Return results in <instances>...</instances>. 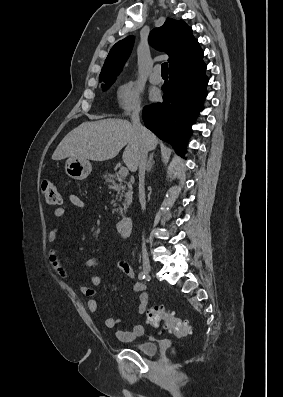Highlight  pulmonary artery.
Masks as SVG:
<instances>
[{
  "mask_svg": "<svg viewBox=\"0 0 283 397\" xmlns=\"http://www.w3.org/2000/svg\"><path fill=\"white\" fill-rule=\"evenodd\" d=\"M160 66H155L153 69V72L150 75V81L153 84H159L162 81L161 75H160Z\"/></svg>",
  "mask_w": 283,
  "mask_h": 397,
  "instance_id": "e3ab8cb5",
  "label": "pulmonary artery"
}]
</instances>
